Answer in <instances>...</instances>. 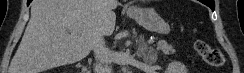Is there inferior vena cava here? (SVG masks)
Wrapping results in <instances>:
<instances>
[{
    "instance_id": "inferior-vena-cava-1",
    "label": "inferior vena cava",
    "mask_w": 244,
    "mask_h": 73,
    "mask_svg": "<svg viewBox=\"0 0 244 73\" xmlns=\"http://www.w3.org/2000/svg\"><path fill=\"white\" fill-rule=\"evenodd\" d=\"M94 55L97 61L105 64V69L111 64V51L106 47L104 38L101 37L94 47Z\"/></svg>"
}]
</instances>
